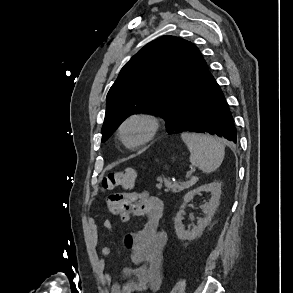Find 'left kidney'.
I'll return each instance as SVG.
<instances>
[{
	"instance_id": "obj_1",
	"label": "left kidney",
	"mask_w": 293,
	"mask_h": 293,
	"mask_svg": "<svg viewBox=\"0 0 293 293\" xmlns=\"http://www.w3.org/2000/svg\"><path fill=\"white\" fill-rule=\"evenodd\" d=\"M201 192H211V200L208 203H205L201 206L206 217L203 219H198L197 226L191 230H185V227L182 223L184 209L186 208L187 203H189L196 194ZM221 196V183L212 182L199 186L198 188L189 191L183 198V203L180 206V210L175 216V232L177 237L180 240H194L197 238L202 231L209 225L212 220V217L219 206V199Z\"/></svg>"
}]
</instances>
